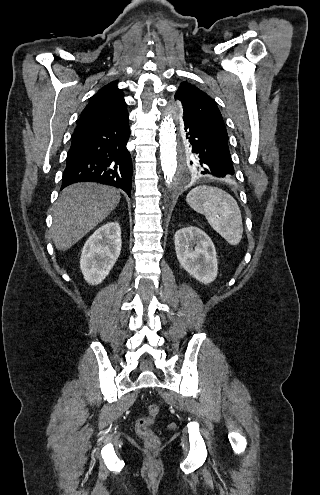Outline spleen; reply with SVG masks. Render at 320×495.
<instances>
[{
  "instance_id": "3e777b00",
  "label": "spleen",
  "mask_w": 320,
  "mask_h": 495,
  "mask_svg": "<svg viewBox=\"0 0 320 495\" xmlns=\"http://www.w3.org/2000/svg\"><path fill=\"white\" fill-rule=\"evenodd\" d=\"M186 202L194 211L205 215L211 227L229 245L235 246L241 241V211L229 193L217 187L201 185L188 193Z\"/></svg>"
}]
</instances>
